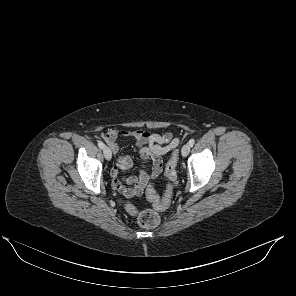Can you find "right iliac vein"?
Here are the masks:
<instances>
[{
  "mask_svg": "<svg viewBox=\"0 0 296 296\" xmlns=\"http://www.w3.org/2000/svg\"><path fill=\"white\" fill-rule=\"evenodd\" d=\"M103 153H104V156H105L106 160H108V161L111 160V158H112V153H111L109 147L105 146V147L103 148Z\"/></svg>",
  "mask_w": 296,
  "mask_h": 296,
  "instance_id": "63e3f726",
  "label": "right iliac vein"
}]
</instances>
